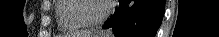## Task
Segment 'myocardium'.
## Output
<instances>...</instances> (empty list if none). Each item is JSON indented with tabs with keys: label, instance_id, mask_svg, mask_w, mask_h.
I'll use <instances>...</instances> for the list:
<instances>
[{
	"label": "myocardium",
	"instance_id": "myocardium-1",
	"mask_svg": "<svg viewBox=\"0 0 219 37\" xmlns=\"http://www.w3.org/2000/svg\"><path fill=\"white\" fill-rule=\"evenodd\" d=\"M87 1H102V0H76L75 8H74V16L76 19L81 22V24L85 27H96L101 25L106 21L110 12H111V4L109 1H104V11L100 17L95 20L87 19L83 14V4Z\"/></svg>",
	"mask_w": 219,
	"mask_h": 37
}]
</instances>
